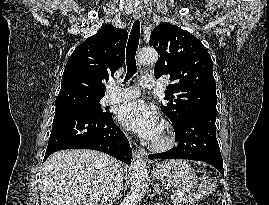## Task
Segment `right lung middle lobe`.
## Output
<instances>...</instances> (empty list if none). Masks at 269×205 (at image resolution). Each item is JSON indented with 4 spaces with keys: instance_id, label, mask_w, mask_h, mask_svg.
Wrapping results in <instances>:
<instances>
[{
    "instance_id": "dd1d6c3e",
    "label": "right lung middle lobe",
    "mask_w": 269,
    "mask_h": 205,
    "mask_svg": "<svg viewBox=\"0 0 269 205\" xmlns=\"http://www.w3.org/2000/svg\"><path fill=\"white\" fill-rule=\"evenodd\" d=\"M99 101L79 103L67 106L56 107L55 115L62 113H88L99 117H105L110 113L104 112L99 104Z\"/></svg>"
}]
</instances>
